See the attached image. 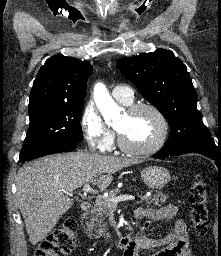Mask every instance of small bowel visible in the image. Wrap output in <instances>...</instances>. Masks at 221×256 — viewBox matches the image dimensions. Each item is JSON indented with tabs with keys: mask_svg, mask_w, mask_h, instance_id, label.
Listing matches in <instances>:
<instances>
[{
	"mask_svg": "<svg viewBox=\"0 0 221 256\" xmlns=\"http://www.w3.org/2000/svg\"><path fill=\"white\" fill-rule=\"evenodd\" d=\"M177 208L173 204L152 209L138 208L135 215L138 219H146L144 228L151 222L172 220L176 218ZM147 256H194L188 243L187 227L183 220L176 219L173 230L163 237H147L139 234L132 238L130 244L124 249V256H143L150 249L159 248Z\"/></svg>",
	"mask_w": 221,
	"mask_h": 256,
	"instance_id": "small-bowel-1",
	"label": "small bowel"
}]
</instances>
